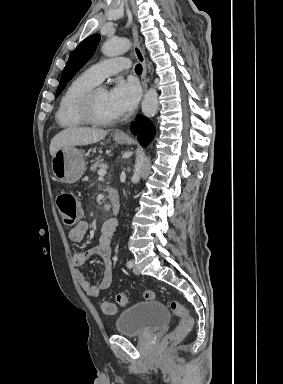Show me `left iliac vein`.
I'll list each match as a JSON object with an SVG mask.
<instances>
[{"mask_svg": "<svg viewBox=\"0 0 283 384\" xmlns=\"http://www.w3.org/2000/svg\"><path fill=\"white\" fill-rule=\"evenodd\" d=\"M132 262H133V261H132ZM133 272H134V274H136V275H139V274H140V271H139L138 267L134 264V262H133Z\"/></svg>", "mask_w": 283, "mask_h": 384, "instance_id": "left-iliac-vein-1", "label": "left iliac vein"}]
</instances>
